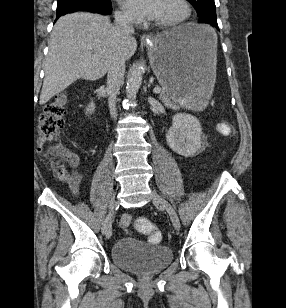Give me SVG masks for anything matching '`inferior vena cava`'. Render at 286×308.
<instances>
[{"mask_svg": "<svg viewBox=\"0 0 286 308\" xmlns=\"http://www.w3.org/2000/svg\"><path fill=\"white\" fill-rule=\"evenodd\" d=\"M115 25L118 30L124 34L134 33V28L130 19L126 16H119L115 20ZM125 74V60L121 58H116L110 64L107 75V91L109 94V109L110 114L113 119L117 117L116 113V97L119 93L120 87L123 84Z\"/></svg>", "mask_w": 286, "mask_h": 308, "instance_id": "obj_1", "label": "inferior vena cava"}]
</instances>
